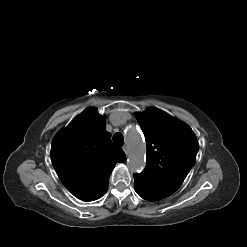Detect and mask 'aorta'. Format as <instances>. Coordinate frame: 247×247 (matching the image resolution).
<instances>
[{"mask_svg": "<svg viewBox=\"0 0 247 247\" xmlns=\"http://www.w3.org/2000/svg\"><path fill=\"white\" fill-rule=\"evenodd\" d=\"M125 137L129 148L128 167L131 171H139L145 166L146 145L140 132L133 125L126 127Z\"/></svg>", "mask_w": 247, "mask_h": 247, "instance_id": "aorta-1", "label": "aorta"}]
</instances>
